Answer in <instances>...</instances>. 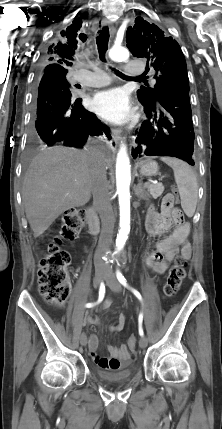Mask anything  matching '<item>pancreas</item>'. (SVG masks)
<instances>
[{"label":"pancreas","instance_id":"cf45deb5","mask_svg":"<svg viewBox=\"0 0 222 429\" xmlns=\"http://www.w3.org/2000/svg\"><path fill=\"white\" fill-rule=\"evenodd\" d=\"M146 188L148 189V194L153 197L154 199L161 196V194L164 191V186L162 184H148L146 185Z\"/></svg>","mask_w":222,"mask_h":429}]
</instances>
